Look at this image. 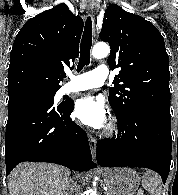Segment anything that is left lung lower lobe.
I'll use <instances>...</instances> for the list:
<instances>
[{
    "mask_svg": "<svg viewBox=\"0 0 178 195\" xmlns=\"http://www.w3.org/2000/svg\"><path fill=\"white\" fill-rule=\"evenodd\" d=\"M117 138L97 142L96 159L102 167H146L166 182L171 165V118L137 111L117 118Z\"/></svg>",
    "mask_w": 178,
    "mask_h": 195,
    "instance_id": "0a47b994",
    "label": "left lung lower lobe"
}]
</instances>
